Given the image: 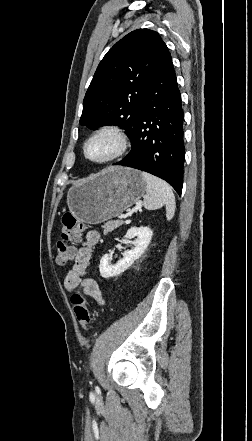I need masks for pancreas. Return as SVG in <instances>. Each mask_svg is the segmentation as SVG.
<instances>
[{
	"mask_svg": "<svg viewBox=\"0 0 252 441\" xmlns=\"http://www.w3.org/2000/svg\"><path fill=\"white\" fill-rule=\"evenodd\" d=\"M124 222L122 220H116V221H109L105 223L102 228L104 229V235L108 234L109 232L113 231L114 229L122 226Z\"/></svg>",
	"mask_w": 252,
	"mask_h": 441,
	"instance_id": "pancreas-1",
	"label": "pancreas"
}]
</instances>
